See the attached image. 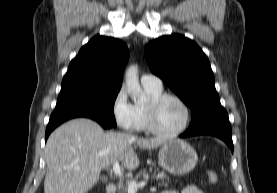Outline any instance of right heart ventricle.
Wrapping results in <instances>:
<instances>
[{"mask_svg":"<svg viewBox=\"0 0 277 193\" xmlns=\"http://www.w3.org/2000/svg\"><path fill=\"white\" fill-rule=\"evenodd\" d=\"M145 90L151 96V98L162 93V89L154 90V89H150V88H145ZM134 107H135V111H136V115H137V129L138 130H147L145 106L135 105Z\"/></svg>","mask_w":277,"mask_h":193,"instance_id":"obj_1","label":"right heart ventricle"}]
</instances>
